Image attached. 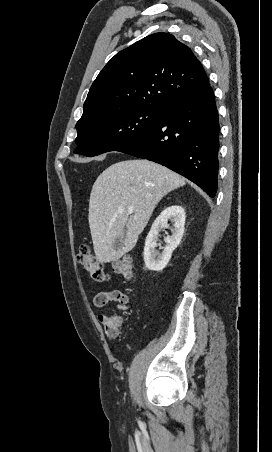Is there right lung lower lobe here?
<instances>
[{"label": "right lung lower lobe", "instance_id": "right-lung-lower-lobe-1", "mask_svg": "<svg viewBox=\"0 0 272 452\" xmlns=\"http://www.w3.org/2000/svg\"><path fill=\"white\" fill-rule=\"evenodd\" d=\"M219 131L215 97L208 81L164 107L149 130L117 151L164 165L214 198Z\"/></svg>", "mask_w": 272, "mask_h": 452}]
</instances>
